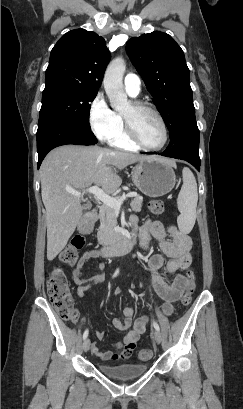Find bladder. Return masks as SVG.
Returning a JSON list of instances; mask_svg holds the SVG:
<instances>
[{
  "mask_svg": "<svg viewBox=\"0 0 243 409\" xmlns=\"http://www.w3.org/2000/svg\"><path fill=\"white\" fill-rule=\"evenodd\" d=\"M97 368L99 372L106 377L120 381H127L143 376L148 370V365L133 362L119 365H108L99 362L97 363Z\"/></svg>",
  "mask_w": 243,
  "mask_h": 409,
  "instance_id": "1",
  "label": "bladder"
}]
</instances>
